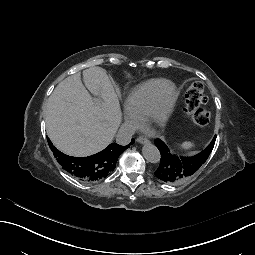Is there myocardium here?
I'll use <instances>...</instances> for the list:
<instances>
[{"label": "myocardium", "mask_w": 255, "mask_h": 255, "mask_svg": "<svg viewBox=\"0 0 255 255\" xmlns=\"http://www.w3.org/2000/svg\"><path fill=\"white\" fill-rule=\"evenodd\" d=\"M177 99V87L172 82H165L158 91L151 109L142 117V128L149 134L158 133L171 118Z\"/></svg>", "instance_id": "f54148a6"}]
</instances>
